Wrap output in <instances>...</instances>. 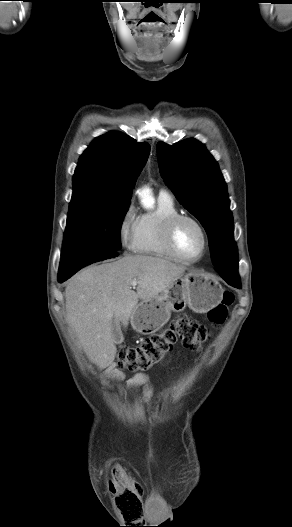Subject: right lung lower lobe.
<instances>
[{
    "label": "right lung lower lobe",
    "mask_w": 292,
    "mask_h": 527,
    "mask_svg": "<svg viewBox=\"0 0 292 527\" xmlns=\"http://www.w3.org/2000/svg\"><path fill=\"white\" fill-rule=\"evenodd\" d=\"M116 256H118V254L109 249L72 250L62 252L58 281L59 283H62L81 268L94 262Z\"/></svg>",
    "instance_id": "obj_1"
}]
</instances>
